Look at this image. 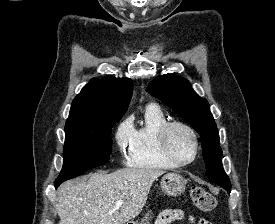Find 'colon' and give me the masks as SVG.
Listing matches in <instances>:
<instances>
[{
    "mask_svg": "<svg viewBox=\"0 0 275 224\" xmlns=\"http://www.w3.org/2000/svg\"><path fill=\"white\" fill-rule=\"evenodd\" d=\"M191 200L194 207L202 212H209L216 206V198L201 187H194L191 190Z\"/></svg>",
    "mask_w": 275,
    "mask_h": 224,
    "instance_id": "colon-1",
    "label": "colon"
}]
</instances>
